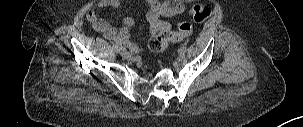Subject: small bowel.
Listing matches in <instances>:
<instances>
[{
	"label": "small bowel",
	"mask_w": 303,
	"mask_h": 127,
	"mask_svg": "<svg viewBox=\"0 0 303 127\" xmlns=\"http://www.w3.org/2000/svg\"><path fill=\"white\" fill-rule=\"evenodd\" d=\"M148 7L146 19L149 23L150 34L157 35L163 31H170V24L164 18L174 17L184 13L185 7L180 2L143 0ZM121 0H101L97 8H92L87 14V19L95 31L100 32L110 41L115 42L117 46L127 48L132 54H139L143 47L130 40V31L135 25L131 17L122 20L121 26L115 28L107 20L103 19L99 10L106 8H119Z\"/></svg>",
	"instance_id": "1"
}]
</instances>
